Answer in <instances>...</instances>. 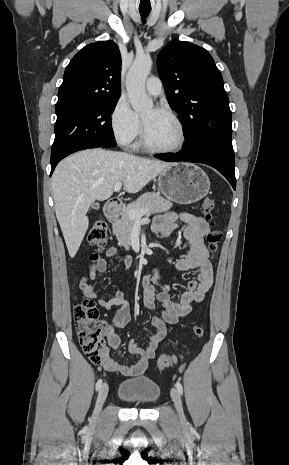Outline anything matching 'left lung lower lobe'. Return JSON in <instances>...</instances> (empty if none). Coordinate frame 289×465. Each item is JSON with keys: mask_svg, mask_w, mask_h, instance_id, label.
Masks as SVG:
<instances>
[{"mask_svg": "<svg viewBox=\"0 0 289 465\" xmlns=\"http://www.w3.org/2000/svg\"><path fill=\"white\" fill-rule=\"evenodd\" d=\"M156 158L170 162H198L214 167L236 189L235 156L233 148L215 143H202L177 153L157 154Z\"/></svg>", "mask_w": 289, "mask_h": 465, "instance_id": "left-lung-lower-lobe-1", "label": "left lung lower lobe"}]
</instances>
